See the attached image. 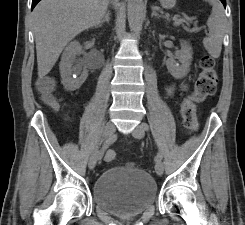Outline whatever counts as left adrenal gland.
<instances>
[{
    "mask_svg": "<svg viewBox=\"0 0 245 225\" xmlns=\"http://www.w3.org/2000/svg\"><path fill=\"white\" fill-rule=\"evenodd\" d=\"M151 17L165 18L164 16L159 15V14L156 12V7H152V14H151Z\"/></svg>",
    "mask_w": 245,
    "mask_h": 225,
    "instance_id": "left-adrenal-gland-1",
    "label": "left adrenal gland"
}]
</instances>
